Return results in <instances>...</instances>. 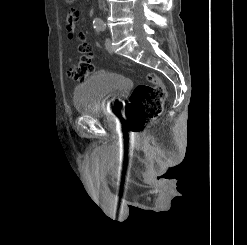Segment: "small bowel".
<instances>
[{
  "label": "small bowel",
  "mask_w": 247,
  "mask_h": 245,
  "mask_svg": "<svg viewBox=\"0 0 247 245\" xmlns=\"http://www.w3.org/2000/svg\"><path fill=\"white\" fill-rule=\"evenodd\" d=\"M76 22H77L76 12L74 9L70 8L67 12V28H68L69 39H72L75 36Z\"/></svg>",
  "instance_id": "1"
}]
</instances>
